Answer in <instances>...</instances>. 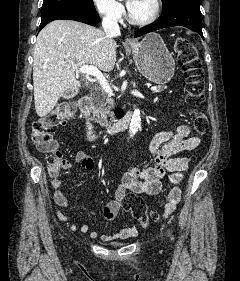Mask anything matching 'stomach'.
<instances>
[{"instance_id":"stomach-1","label":"stomach","mask_w":240,"mask_h":281,"mask_svg":"<svg viewBox=\"0 0 240 281\" xmlns=\"http://www.w3.org/2000/svg\"><path fill=\"white\" fill-rule=\"evenodd\" d=\"M139 72L148 80L165 84L175 71V61L162 38L155 33L145 36L140 42L128 46Z\"/></svg>"}]
</instances>
